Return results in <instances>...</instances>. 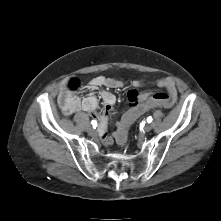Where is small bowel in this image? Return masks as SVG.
<instances>
[{
	"instance_id": "obj_1",
	"label": "small bowel",
	"mask_w": 221,
	"mask_h": 221,
	"mask_svg": "<svg viewBox=\"0 0 221 221\" xmlns=\"http://www.w3.org/2000/svg\"><path fill=\"white\" fill-rule=\"evenodd\" d=\"M133 85L139 87L142 85V82L140 80H134ZM157 85L167 90V94L165 95L171 100V103L168 107L172 106L178 95L175 81L171 77H164L157 80ZM122 86V81L105 76L95 77L89 82L88 88L90 90L105 88L100 91V96L104 103V110L102 112L97 111L99 100L93 94H89L84 98H79L72 92H69L65 89L63 92H61L59 101H66V114H71L75 111L82 110L97 118L99 120L98 134L102 142L106 145H109L112 144L117 137V130L114 133V136H110L107 133L109 117L116 103V96L108 89L121 88ZM146 97L147 94H139L136 90L129 91L128 100L130 103V107L133 105H137L138 103H143V101L147 99Z\"/></svg>"
}]
</instances>
